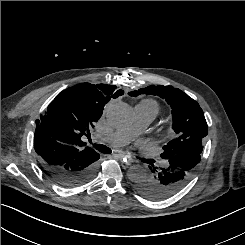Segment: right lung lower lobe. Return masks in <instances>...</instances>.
I'll return each mask as SVG.
<instances>
[{
    "instance_id": "right-lung-lower-lobe-1",
    "label": "right lung lower lobe",
    "mask_w": 245,
    "mask_h": 245,
    "mask_svg": "<svg viewBox=\"0 0 245 245\" xmlns=\"http://www.w3.org/2000/svg\"><path fill=\"white\" fill-rule=\"evenodd\" d=\"M100 155L81 157L62 166H48L40 162L44 172L58 185L65 188L81 186L90 181L97 170Z\"/></svg>"
}]
</instances>
